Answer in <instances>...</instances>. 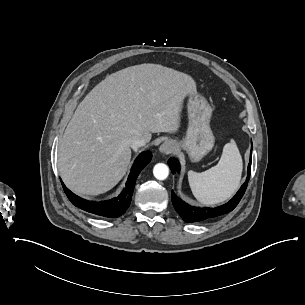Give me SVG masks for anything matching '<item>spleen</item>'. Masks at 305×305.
Wrapping results in <instances>:
<instances>
[{
    "instance_id": "obj_1",
    "label": "spleen",
    "mask_w": 305,
    "mask_h": 305,
    "mask_svg": "<svg viewBox=\"0 0 305 305\" xmlns=\"http://www.w3.org/2000/svg\"><path fill=\"white\" fill-rule=\"evenodd\" d=\"M243 169L242 157L234 139L225 144L218 164L204 172H188V181L195 198L213 206L232 197L238 190Z\"/></svg>"
}]
</instances>
